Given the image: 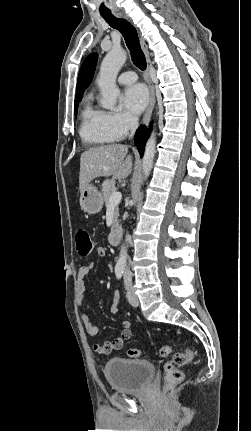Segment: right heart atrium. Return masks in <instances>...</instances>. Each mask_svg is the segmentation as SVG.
Here are the masks:
<instances>
[{"instance_id": "d8ad5b80", "label": "right heart atrium", "mask_w": 251, "mask_h": 431, "mask_svg": "<svg viewBox=\"0 0 251 431\" xmlns=\"http://www.w3.org/2000/svg\"><path fill=\"white\" fill-rule=\"evenodd\" d=\"M106 122L116 139L124 137L137 125L136 119L126 112H107Z\"/></svg>"}]
</instances>
